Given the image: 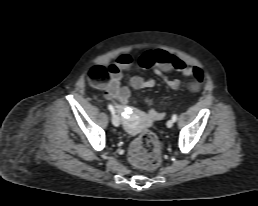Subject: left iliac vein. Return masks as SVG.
Segmentation results:
<instances>
[{"instance_id":"left-iliac-vein-1","label":"left iliac vein","mask_w":258,"mask_h":206,"mask_svg":"<svg viewBox=\"0 0 258 206\" xmlns=\"http://www.w3.org/2000/svg\"><path fill=\"white\" fill-rule=\"evenodd\" d=\"M173 124H174V121L172 119H170V120L167 121L166 125H167L168 128H171L173 126Z\"/></svg>"}]
</instances>
